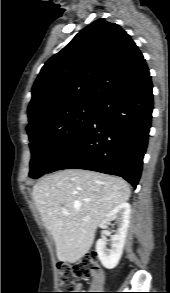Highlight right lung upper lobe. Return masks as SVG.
I'll return each instance as SVG.
<instances>
[{
  "mask_svg": "<svg viewBox=\"0 0 170 293\" xmlns=\"http://www.w3.org/2000/svg\"><path fill=\"white\" fill-rule=\"evenodd\" d=\"M148 70L130 36L100 18L41 69L28 107V128L79 105H98L109 93Z\"/></svg>",
  "mask_w": 170,
  "mask_h": 293,
  "instance_id": "right-lung-upper-lobe-1",
  "label": "right lung upper lobe"
}]
</instances>
